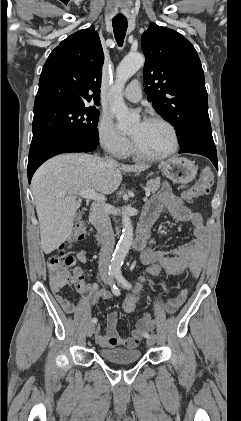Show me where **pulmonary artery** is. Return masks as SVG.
<instances>
[{
    "label": "pulmonary artery",
    "mask_w": 241,
    "mask_h": 421,
    "mask_svg": "<svg viewBox=\"0 0 241 421\" xmlns=\"http://www.w3.org/2000/svg\"><path fill=\"white\" fill-rule=\"evenodd\" d=\"M123 96L131 102H138L142 98L139 82L137 80L132 81L124 90Z\"/></svg>",
    "instance_id": "e3ab8cb5"
}]
</instances>
